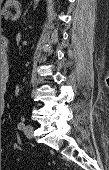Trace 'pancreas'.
<instances>
[{
	"label": "pancreas",
	"mask_w": 109,
	"mask_h": 170,
	"mask_svg": "<svg viewBox=\"0 0 109 170\" xmlns=\"http://www.w3.org/2000/svg\"><path fill=\"white\" fill-rule=\"evenodd\" d=\"M8 15H10V11L5 6L1 9V19L6 18Z\"/></svg>",
	"instance_id": "cf45deb5"
}]
</instances>
